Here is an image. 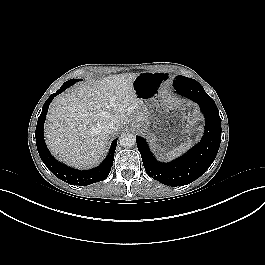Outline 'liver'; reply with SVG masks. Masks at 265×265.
Returning a JSON list of instances; mask_svg holds the SVG:
<instances>
[{"label":"liver","mask_w":265,"mask_h":265,"mask_svg":"<svg viewBox=\"0 0 265 265\" xmlns=\"http://www.w3.org/2000/svg\"><path fill=\"white\" fill-rule=\"evenodd\" d=\"M136 76V73L109 76L57 96L45 124L51 153L79 169L97 165L107 151L108 135L102 131L101 124L113 119L117 132L144 116L143 103L133 86Z\"/></svg>","instance_id":"obj_1"}]
</instances>
